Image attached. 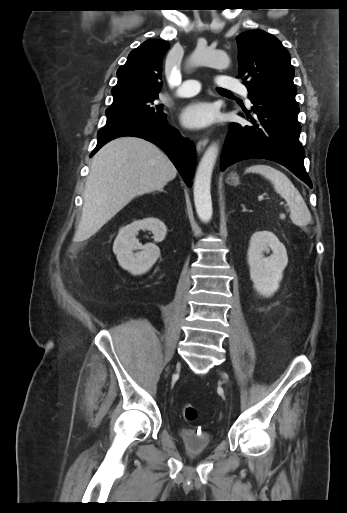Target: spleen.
I'll list each match as a JSON object with an SVG mask.
<instances>
[{"label":"spleen","mask_w":347,"mask_h":513,"mask_svg":"<svg viewBox=\"0 0 347 513\" xmlns=\"http://www.w3.org/2000/svg\"><path fill=\"white\" fill-rule=\"evenodd\" d=\"M247 173H258L268 179L275 191L283 197L290 212V219L304 227L311 221L310 211L292 181L280 170L268 164H256L246 169Z\"/></svg>","instance_id":"3e777b00"}]
</instances>
